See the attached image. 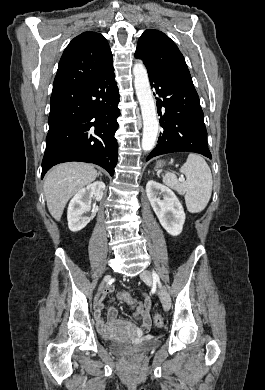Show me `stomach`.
<instances>
[{"label": "stomach", "instance_id": "0dacf381", "mask_svg": "<svg viewBox=\"0 0 265 390\" xmlns=\"http://www.w3.org/2000/svg\"><path fill=\"white\" fill-rule=\"evenodd\" d=\"M163 165H164L163 161H158L157 164H156V167L157 168H161Z\"/></svg>", "mask_w": 265, "mask_h": 390}]
</instances>
